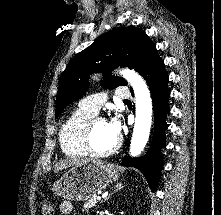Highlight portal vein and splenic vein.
I'll list each match as a JSON object with an SVG mask.
<instances>
[{
  "label": "portal vein and splenic vein",
  "mask_w": 221,
  "mask_h": 215,
  "mask_svg": "<svg viewBox=\"0 0 221 215\" xmlns=\"http://www.w3.org/2000/svg\"><path fill=\"white\" fill-rule=\"evenodd\" d=\"M96 199H97V200H101V196H97Z\"/></svg>",
  "instance_id": "obj_1"
}]
</instances>
